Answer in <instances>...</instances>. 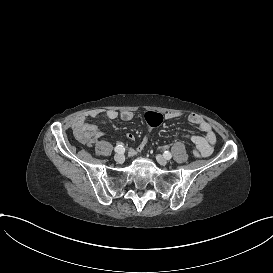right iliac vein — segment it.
I'll use <instances>...</instances> for the list:
<instances>
[{
	"label": "right iliac vein",
	"instance_id": "1",
	"mask_svg": "<svg viewBox=\"0 0 273 273\" xmlns=\"http://www.w3.org/2000/svg\"><path fill=\"white\" fill-rule=\"evenodd\" d=\"M114 160H115L116 162H118V163H123L124 160H125V157H124V155L118 153V154H116V155L114 156Z\"/></svg>",
	"mask_w": 273,
	"mask_h": 273
}]
</instances>
